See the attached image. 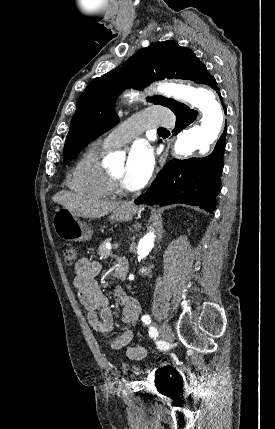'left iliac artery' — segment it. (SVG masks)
<instances>
[{
  "instance_id": "left-iliac-artery-1",
  "label": "left iliac artery",
  "mask_w": 275,
  "mask_h": 429,
  "mask_svg": "<svg viewBox=\"0 0 275 429\" xmlns=\"http://www.w3.org/2000/svg\"><path fill=\"white\" fill-rule=\"evenodd\" d=\"M141 320L144 324H149L151 322V318L149 315L142 316Z\"/></svg>"
}]
</instances>
